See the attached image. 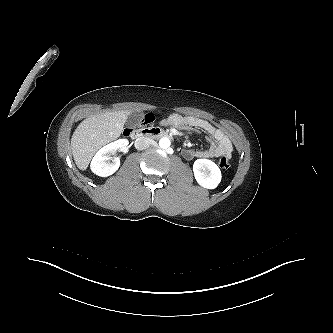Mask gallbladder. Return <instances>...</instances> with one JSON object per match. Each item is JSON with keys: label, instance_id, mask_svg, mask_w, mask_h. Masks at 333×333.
I'll return each mask as SVG.
<instances>
[{"label": "gallbladder", "instance_id": "bac80fb5", "mask_svg": "<svg viewBox=\"0 0 333 333\" xmlns=\"http://www.w3.org/2000/svg\"><path fill=\"white\" fill-rule=\"evenodd\" d=\"M142 119H143L142 112H133L129 115L126 125L135 127Z\"/></svg>", "mask_w": 333, "mask_h": 333}]
</instances>
